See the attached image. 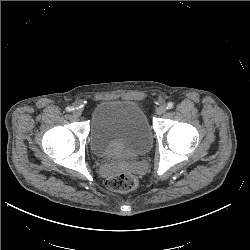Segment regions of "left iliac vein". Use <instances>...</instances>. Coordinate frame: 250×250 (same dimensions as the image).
<instances>
[{
	"mask_svg": "<svg viewBox=\"0 0 250 250\" xmlns=\"http://www.w3.org/2000/svg\"><path fill=\"white\" fill-rule=\"evenodd\" d=\"M166 111V107L165 106H159L157 109H156V114L157 115H162L163 113H165Z\"/></svg>",
	"mask_w": 250,
	"mask_h": 250,
	"instance_id": "obj_1",
	"label": "left iliac vein"
}]
</instances>
